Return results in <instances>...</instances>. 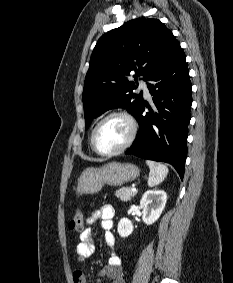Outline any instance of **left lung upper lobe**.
Masks as SVG:
<instances>
[{"label":"left lung upper lobe","instance_id":"obj_1","mask_svg":"<svg viewBox=\"0 0 233 283\" xmlns=\"http://www.w3.org/2000/svg\"><path fill=\"white\" fill-rule=\"evenodd\" d=\"M179 43L172 32L157 19L137 18L99 38L90 58L82 100L85 129L93 118L112 108H125L134 116L143 98L134 94V73L148 80Z\"/></svg>","mask_w":233,"mask_h":283}]
</instances>
